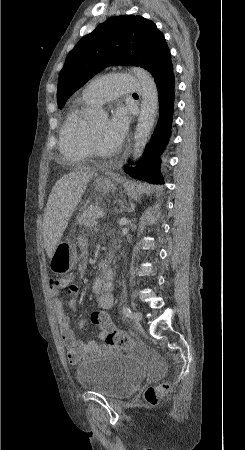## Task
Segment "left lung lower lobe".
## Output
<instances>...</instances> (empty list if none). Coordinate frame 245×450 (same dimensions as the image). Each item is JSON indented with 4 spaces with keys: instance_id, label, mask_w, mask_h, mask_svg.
Returning a JSON list of instances; mask_svg holds the SVG:
<instances>
[{
    "instance_id": "1",
    "label": "left lung lower lobe",
    "mask_w": 245,
    "mask_h": 450,
    "mask_svg": "<svg viewBox=\"0 0 245 450\" xmlns=\"http://www.w3.org/2000/svg\"><path fill=\"white\" fill-rule=\"evenodd\" d=\"M152 76L158 90L160 111L158 124L140 165L136 169L126 167L124 171L134 178L162 184L164 182L159 172L160 154L170 136L174 104L175 79L171 60L157 69Z\"/></svg>"
}]
</instances>
